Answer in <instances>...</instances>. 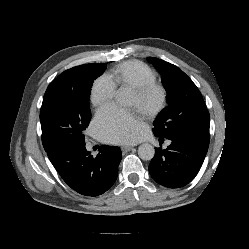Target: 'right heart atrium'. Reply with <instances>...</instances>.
I'll return each instance as SVG.
<instances>
[{"mask_svg":"<svg viewBox=\"0 0 249 249\" xmlns=\"http://www.w3.org/2000/svg\"><path fill=\"white\" fill-rule=\"evenodd\" d=\"M117 85L107 75L98 77L91 89V102L95 106H102L108 103L114 96Z\"/></svg>","mask_w":249,"mask_h":249,"instance_id":"1","label":"right heart atrium"}]
</instances>
